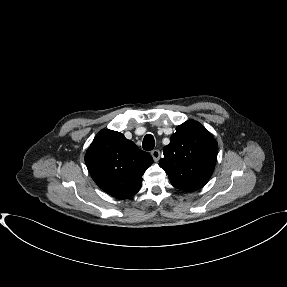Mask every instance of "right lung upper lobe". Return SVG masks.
Instances as JSON below:
<instances>
[{"label": "right lung upper lobe", "instance_id": "obj_1", "mask_svg": "<svg viewBox=\"0 0 287 287\" xmlns=\"http://www.w3.org/2000/svg\"><path fill=\"white\" fill-rule=\"evenodd\" d=\"M85 163L91 177L103 191L123 199L140 190L142 175L153 159L123 134L104 129L88 148Z\"/></svg>", "mask_w": 287, "mask_h": 287}]
</instances>
